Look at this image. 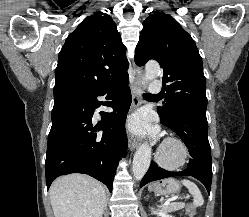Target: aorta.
Instances as JSON below:
<instances>
[{"label": "aorta", "instance_id": "aorta-1", "mask_svg": "<svg viewBox=\"0 0 249 217\" xmlns=\"http://www.w3.org/2000/svg\"><path fill=\"white\" fill-rule=\"evenodd\" d=\"M160 72V66L156 61L146 64L145 75L142 83L145 85L155 79ZM151 147L147 143L140 145L133 158L132 172L137 180H141L146 174L151 162Z\"/></svg>", "mask_w": 249, "mask_h": 217}]
</instances>
